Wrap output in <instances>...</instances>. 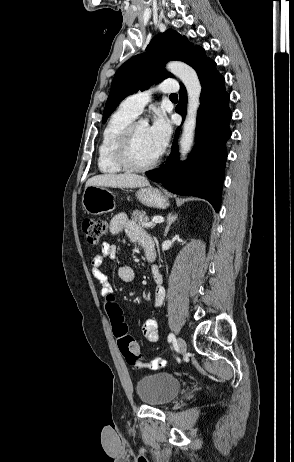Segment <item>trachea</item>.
<instances>
[{"mask_svg":"<svg viewBox=\"0 0 294 462\" xmlns=\"http://www.w3.org/2000/svg\"><path fill=\"white\" fill-rule=\"evenodd\" d=\"M170 98H171V99H177L178 96H177V94H171V95H170Z\"/></svg>","mask_w":294,"mask_h":462,"instance_id":"3493384b","label":"trachea"}]
</instances>
